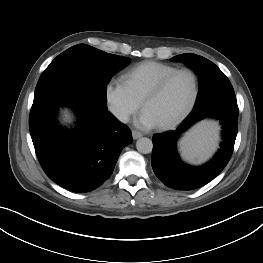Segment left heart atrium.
<instances>
[{"label": "left heart atrium", "instance_id": "1", "mask_svg": "<svg viewBox=\"0 0 263 263\" xmlns=\"http://www.w3.org/2000/svg\"><path fill=\"white\" fill-rule=\"evenodd\" d=\"M136 125L143 129H151L158 126L156 120L153 116L147 111L143 110L142 113L135 121Z\"/></svg>", "mask_w": 263, "mask_h": 263}]
</instances>
